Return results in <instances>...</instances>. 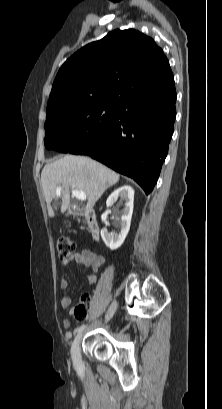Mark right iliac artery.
Returning <instances> with one entry per match:
<instances>
[{"label": "right iliac artery", "instance_id": "obj_1", "mask_svg": "<svg viewBox=\"0 0 222 409\" xmlns=\"http://www.w3.org/2000/svg\"><path fill=\"white\" fill-rule=\"evenodd\" d=\"M86 328V325H81L80 327H78L77 329H76V332L77 333H80V332H82L84 329Z\"/></svg>", "mask_w": 222, "mask_h": 409}]
</instances>
